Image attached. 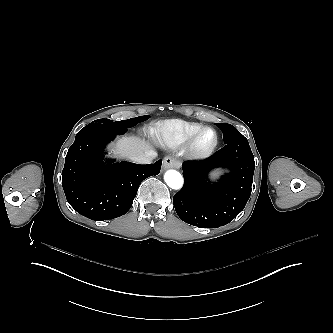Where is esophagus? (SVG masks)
<instances>
[{"label":"esophagus","mask_w":333,"mask_h":333,"mask_svg":"<svg viewBox=\"0 0 333 333\" xmlns=\"http://www.w3.org/2000/svg\"><path fill=\"white\" fill-rule=\"evenodd\" d=\"M181 165H182V163L179 160H177L171 156H165L163 159V168L164 169H169V168L178 169L181 167Z\"/></svg>","instance_id":"34e87169"}]
</instances>
